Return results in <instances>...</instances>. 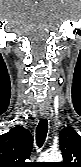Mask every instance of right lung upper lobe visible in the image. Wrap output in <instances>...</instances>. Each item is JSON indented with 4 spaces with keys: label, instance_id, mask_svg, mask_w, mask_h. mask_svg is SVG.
Instances as JSON below:
<instances>
[{
    "label": "right lung upper lobe",
    "instance_id": "obj_1",
    "mask_svg": "<svg viewBox=\"0 0 81 167\" xmlns=\"http://www.w3.org/2000/svg\"><path fill=\"white\" fill-rule=\"evenodd\" d=\"M32 143V134L23 126L0 135V167H29L25 160L31 154Z\"/></svg>",
    "mask_w": 81,
    "mask_h": 167
}]
</instances>
